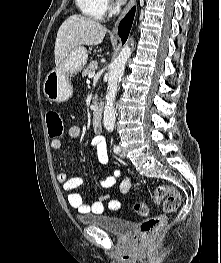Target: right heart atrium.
I'll list each match as a JSON object with an SVG mask.
<instances>
[{"instance_id": "d8ad5b80", "label": "right heart atrium", "mask_w": 221, "mask_h": 263, "mask_svg": "<svg viewBox=\"0 0 221 263\" xmlns=\"http://www.w3.org/2000/svg\"><path fill=\"white\" fill-rule=\"evenodd\" d=\"M106 9H113L114 2L113 0H103Z\"/></svg>"}]
</instances>
